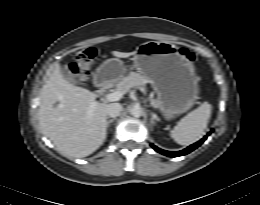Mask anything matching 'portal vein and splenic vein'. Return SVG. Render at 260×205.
<instances>
[{
  "label": "portal vein and splenic vein",
  "instance_id": "1",
  "mask_svg": "<svg viewBox=\"0 0 260 205\" xmlns=\"http://www.w3.org/2000/svg\"><path fill=\"white\" fill-rule=\"evenodd\" d=\"M141 91H144L143 88H140ZM123 96V93L120 91H115L113 93H109L106 95V99L110 102H114V101H119ZM153 105V103H151ZM96 105V102L92 103L90 106V111H92L94 109Z\"/></svg>",
  "mask_w": 260,
  "mask_h": 205
}]
</instances>
